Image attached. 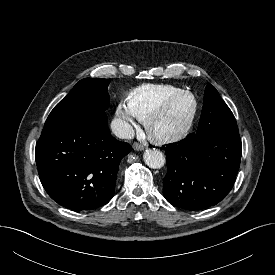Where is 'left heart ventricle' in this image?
Masks as SVG:
<instances>
[{"label": "left heart ventricle", "instance_id": "b2bd125f", "mask_svg": "<svg viewBox=\"0 0 275 275\" xmlns=\"http://www.w3.org/2000/svg\"><path fill=\"white\" fill-rule=\"evenodd\" d=\"M190 110V98L184 96L177 99L154 121L153 131L157 134H167L178 130L187 120Z\"/></svg>", "mask_w": 275, "mask_h": 275}]
</instances>
